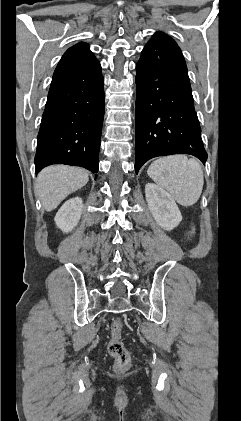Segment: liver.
Instances as JSON below:
<instances>
[{
	"label": "liver",
	"mask_w": 241,
	"mask_h": 421,
	"mask_svg": "<svg viewBox=\"0 0 241 421\" xmlns=\"http://www.w3.org/2000/svg\"><path fill=\"white\" fill-rule=\"evenodd\" d=\"M88 180L89 174L84 169L53 165L38 174L35 193L44 209L51 212L71 193L85 186Z\"/></svg>",
	"instance_id": "obj_1"
}]
</instances>
